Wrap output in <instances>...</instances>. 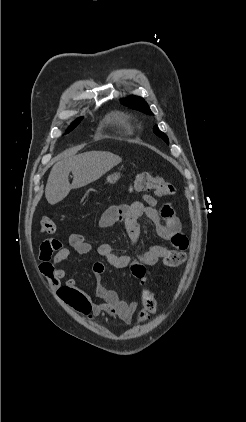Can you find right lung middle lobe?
Returning a JSON list of instances; mask_svg holds the SVG:
<instances>
[{
  "instance_id": "obj_1",
  "label": "right lung middle lobe",
  "mask_w": 246,
  "mask_h": 422,
  "mask_svg": "<svg viewBox=\"0 0 246 422\" xmlns=\"http://www.w3.org/2000/svg\"><path fill=\"white\" fill-rule=\"evenodd\" d=\"M81 120H82V118H78L75 122H73L67 132H69L72 129H74Z\"/></svg>"
}]
</instances>
